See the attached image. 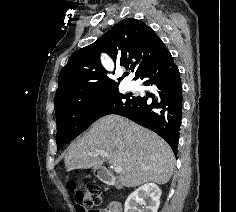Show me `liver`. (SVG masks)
<instances>
[{
	"instance_id": "1",
	"label": "liver",
	"mask_w": 236,
	"mask_h": 212,
	"mask_svg": "<svg viewBox=\"0 0 236 212\" xmlns=\"http://www.w3.org/2000/svg\"><path fill=\"white\" fill-rule=\"evenodd\" d=\"M98 150L107 157L96 155ZM105 158L122 167L119 180L125 187L165 184L175 164L172 149L160 136L119 115H107L93 123L68 147L64 163L67 171L98 169Z\"/></svg>"
}]
</instances>
